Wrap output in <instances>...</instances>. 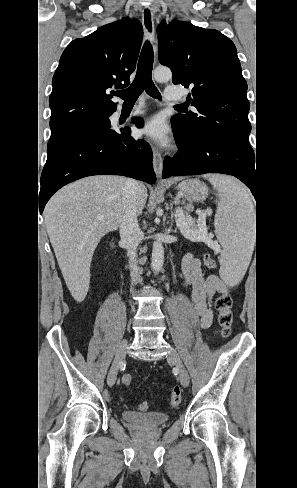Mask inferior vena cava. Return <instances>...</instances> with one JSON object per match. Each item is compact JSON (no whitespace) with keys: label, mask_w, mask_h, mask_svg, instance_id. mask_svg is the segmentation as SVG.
Returning a JSON list of instances; mask_svg holds the SVG:
<instances>
[{"label":"inferior vena cava","mask_w":297,"mask_h":488,"mask_svg":"<svg viewBox=\"0 0 297 488\" xmlns=\"http://www.w3.org/2000/svg\"><path fill=\"white\" fill-rule=\"evenodd\" d=\"M139 184L133 179H127L123 188V214L120 222L121 242L127 249V256L131 264V279L136 283L139 278L136 249L142 239L137 220V194Z\"/></svg>","instance_id":"602c4592"}]
</instances>
